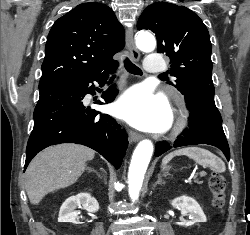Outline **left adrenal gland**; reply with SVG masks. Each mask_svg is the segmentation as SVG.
Listing matches in <instances>:
<instances>
[{"mask_svg": "<svg viewBox=\"0 0 250 235\" xmlns=\"http://www.w3.org/2000/svg\"><path fill=\"white\" fill-rule=\"evenodd\" d=\"M157 184H165V182L162 181L160 174H158V180L154 183V187H156Z\"/></svg>", "mask_w": 250, "mask_h": 235, "instance_id": "left-adrenal-gland-1", "label": "left adrenal gland"}]
</instances>
